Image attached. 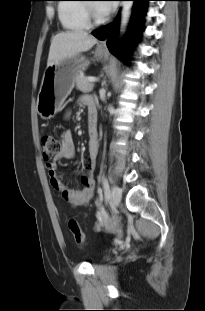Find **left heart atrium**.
<instances>
[{"label":"left heart atrium","mask_w":205,"mask_h":311,"mask_svg":"<svg viewBox=\"0 0 205 311\" xmlns=\"http://www.w3.org/2000/svg\"><path fill=\"white\" fill-rule=\"evenodd\" d=\"M97 9L102 14H108L112 11L113 5L110 3H106L105 1H102L101 3L97 4Z\"/></svg>","instance_id":"39dd6f15"}]
</instances>
